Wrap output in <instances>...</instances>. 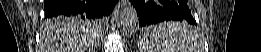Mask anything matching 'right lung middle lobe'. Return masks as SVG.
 <instances>
[{"mask_svg": "<svg viewBox=\"0 0 261 52\" xmlns=\"http://www.w3.org/2000/svg\"><path fill=\"white\" fill-rule=\"evenodd\" d=\"M57 20L59 22H66V23L67 22H74V21H77V22L85 21L93 29H97L100 26L99 20L90 19V18H87L85 16H80V15H77V16H59V17H57Z\"/></svg>", "mask_w": 261, "mask_h": 52, "instance_id": "obj_1", "label": "right lung middle lobe"}]
</instances>
